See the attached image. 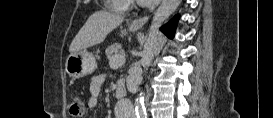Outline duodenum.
<instances>
[{
    "mask_svg": "<svg viewBox=\"0 0 273 118\" xmlns=\"http://www.w3.org/2000/svg\"><path fill=\"white\" fill-rule=\"evenodd\" d=\"M116 96L118 98H123L127 94V88L125 83L122 80H118L116 83V88H115Z\"/></svg>",
    "mask_w": 273,
    "mask_h": 118,
    "instance_id": "1",
    "label": "duodenum"
}]
</instances>
